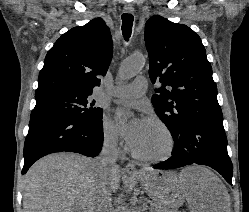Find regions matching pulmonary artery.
I'll list each match as a JSON object with an SVG mask.
<instances>
[{
  "label": "pulmonary artery",
  "mask_w": 249,
  "mask_h": 212,
  "mask_svg": "<svg viewBox=\"0 0 249 212\" xmlns=\"http://www.w3.org/2000/svg\"><path fill=\"white\" fill-rule=\"evenodd\" d=\"M147 87V79L144 76H138L129 84L115 85L110 93L123 99L139 98L145 95Z\"/></svg>",
  "instance_id": "1"
}]
</instances>
